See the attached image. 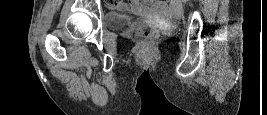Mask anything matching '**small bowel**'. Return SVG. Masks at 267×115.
I'll list each match as a JSON object with an SVG mask.
<instances>
[{
  "label": "small bowel",
  "instance_id": "c3829d8e",
  "mask_svg": "<svg viewBox=\"0 0 267 115\" xmlns=\"http://www.w3.org/2000/svg\"><path fill=\"white\" fill-rule=\"evenodd\" d=\"M111 6L121 12L135 15H155L163 13L167 10V5L164 2H152L149 0L139 2L133 1L129 4L123 3L121 1H113ZM169 8L173 11H178L180 9V4L178 1H172Z\"/></svg>",
  "mask_w": 267,
  "mask_h": 115
}]
</instances>
